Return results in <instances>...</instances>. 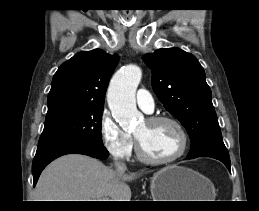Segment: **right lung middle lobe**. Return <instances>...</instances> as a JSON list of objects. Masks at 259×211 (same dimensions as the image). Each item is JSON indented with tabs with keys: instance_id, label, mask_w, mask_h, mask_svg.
<instances>
[{
	"instance_id": "dd1d6c3e",
	"label": "right lung middle lobe",
	"mask_w": 259,
	"mask_h": 211,
	"mask_svg": "<svg viewBox=\"0 0 259 211\" xmlns=\"http://www.w3.org/2000/svg\"><path fill=\"white\" fill-rule=\"evenodd\" d=\"M102 114L103 107H89L45 121L38 144L57 140H79L103 145L101 138Z\"/></svg>"
}]
</instances>
